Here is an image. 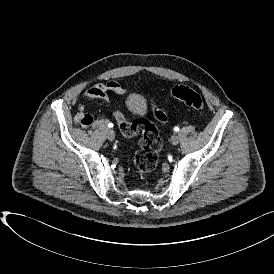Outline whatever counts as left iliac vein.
I'll return each instance as SVG.
<instances>
[{"mask_svg": "<svg viewBox=\"0 0 274 274\" xmlns=\"http://www.w3.org/2000/svg\"><path fill=\"white\" fill-rule=\"evenodd\" d=\"M171 143H172L173 145H177V144L179 143V137H178L177 135H173V136L171 137Z\"/></svg>", "mask_w": 274, "mask_h": 274, "instance_id": "4c4485c4", "label": "left iliac vein"}]
</instances>
